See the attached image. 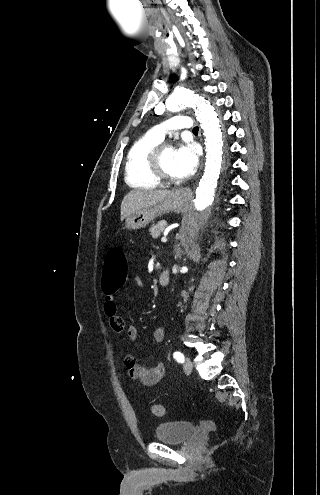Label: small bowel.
<instances>
[{
    "label": "small bowel",
    "mask_w": 320,
    "mask_h": 495,
    "mask_svg": "<svg viewBox=\"0 0 320 495\" xmlns=\"http://www.w3.org/2000/svg\"><path fill=\"white\" fill-rule=\"evenodd\" d=\"M136 284L142 285V281L136 278ZM106 297L103 304L105 315L109 319V324L115 332L126 331V336L131 342H136L138 339V330L134 325H126L123 319L118 314V307L115 300L114 292H105ZM166 327H157L154 331V337L157 342H162L166 336ZM124 366L128 376L132 379L139 380L143 385L152 386L158 383L164 376L165 366L163 363H158L154 367L147 368L137 363L136 358L132 354H126L124 357Z\"/></svg>",
    "instance_id": "c3829d8e"
}]
</instances>
